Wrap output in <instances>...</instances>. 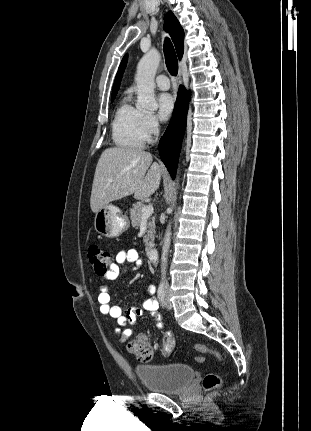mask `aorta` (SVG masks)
Instances as JSON below:
<instances>
[{"label":"aorta","mask_w":311,"mask_h":431,"mask_svg":"<svg viewBox=\"0 0 311 431\" xmlns=\"http://www.w3.org/2000/svg\"><path fill=\"white\" fill-rule=\"evenodd\" d=\"M161 62V54L158 50H149L143 58H141L137 72L135 74V82L137 84V104L136 108H145V110H157L158 104L154 94V78ZM178 182V180H176ZM178 184H176L177 188ZM176 198V196H174ZM169 212H173L172 208H168ZM171 243V221H169L166 233L163 239L161 253V271L165 273L167 255ZM163 279V277H162Z\"/></svg>","instance_id":"762f6f07"}]
</instances>
